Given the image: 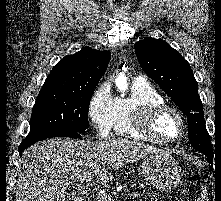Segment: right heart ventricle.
<instances>
[{"instance_id": "e07e8e85", "label": "right heart ventricle", "mask_w": 221, "mask_h": 201, "mask_svg": "<svg viewBox=\"0 0 221 201\" xmlns=\"http://www.w3.org/2000/svg\"><path fill=\"white\" fill-rule=\"evenodd\" d=\"M163 97L147 82H134L129 97L116 98L114 130L117 134L146 139L134 128L133 117L137 110L151 103H162Z\"/></svg>"}]
</instances>
